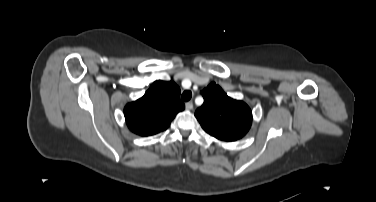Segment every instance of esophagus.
I'll list each match as a JSON object with an SVG mask.
<instances>
[{
	"mask_svg": "<svg viewBox=\"0 0 376 202\" xmlns=\"http://www.w3.org/2000/svg\"><path fill=\"white\" fill-rule=\"evenodd\" d=\"M185 106H186V109L187 110H192L193 109V103L192 102H187L186 104H185Z\"/></svg>",
	"mask_w": 376,
	"mask_h": 202,
	"instance_id": "esophagus-1",
	"label": "esophagus"
}]
</instances>
